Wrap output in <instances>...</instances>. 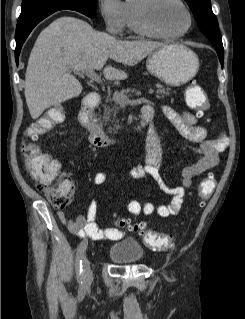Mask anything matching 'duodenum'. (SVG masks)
Listing matches in <instances>:
<instances>
[{
	"mask_svg": "<svg viewBox=\"0 0 245 319\" xmlns=\"http://www.w3.org/2000/svg\"><path fill=\"white\" fill-rule=\"evenodd\" d=\"M100 99L99 93L95 91L90 92L84 97L79 112V122L89 131V140L92 145L96 147H106L112 142V139L106 135L93 114ZM150 120V116H142L138 128L141 129L145 127Z\"/></svg>",
	"mask_w": 245,
	"mask_h": 319,
	"instance_id": "duodenum-1",
	"label": "duodenum"
}]
</instances>
